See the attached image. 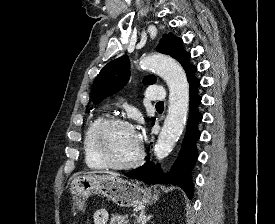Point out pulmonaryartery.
<instances>
[{
	"mask_svg": "<svg viewBox=\"0 0 275 224\" xmlns=\"http://www.w3.org/2000/svg\"><path fill=\"white\" fill-rule=\"evenodd\" d=\"M146 97L150 101H163L166 97V92L158 86L149 87L146 90Z\"/></svg>",
	"mask_w": 275,
	"mask_h": 224,
	"instance_id": "1",
	"label": "pulmonary artery"
}]
</instances>
